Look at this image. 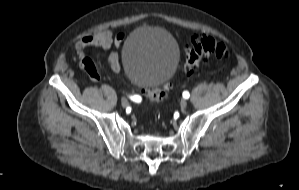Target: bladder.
<instances>
[{
	"instance_id": "bladder-1",
	"label": "bladder",
	"mask_w": 299,
	"mask_h": 190,
	"mask_svg": "<svg viewBox=\"0 0 299 190\" xmlns=\"http://www.w3.org/2000/svg\"><path fill=\"white\" fill-rule=\"evenodd\" d=\"M179 60L176 41L169 32L160 28H138L129 35L122 47L124 73L137 85H162L174 75Z\"/></svg>"
}]
</instances>
